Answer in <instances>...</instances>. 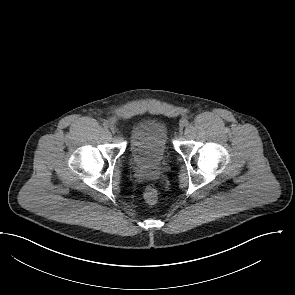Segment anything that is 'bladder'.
I'll use <instances>...</instances> for the list:
<instances>
[{"label": "bladder", "mask_w": 295, "mask_h": 295, "mask_svg": "<svg viewBox=\"0 0 295 295\" xmlns=\"http://www.w3.org/2000/svg\"><path fill=\"white\" fill-rule=\"evenodd\" d=\"M169 141L167 124L158 117H146L130 131V155L138 166H153L166 156Z\"/></svg>", "instance_id": "31cf9c89"}]
</instances>
